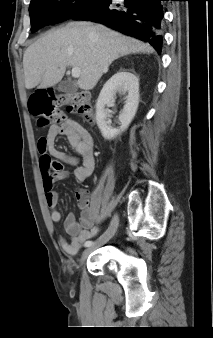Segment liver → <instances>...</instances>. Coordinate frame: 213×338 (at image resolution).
<instances>
[{
	"label": "liver",
	"mask_w": 213,
	"mask_h": 338,
	"mask_svg": "<svg viewBox=\"0 0 213 338\" xmlns=\"http://www.w3.org/2000/svg\"><path fill=\"white\" fill-rule=\"evenodd\" d=\"M153 51L149 44L103 25L68 23L49 31L26 49L23 56L25 87L54 86L63 78L66 67L72 66L81 70L79 88L91 90L115 59Z\"/></svg>",
	"instance_id": "obj_1"
}]
</instances>
